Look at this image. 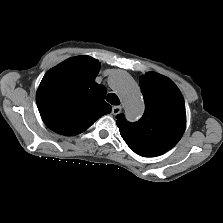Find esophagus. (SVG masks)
<instances>
[{
	"mask_svg": "<svg viewBox=\"0 0 223 223\" xmlns=\"http://www.w3.org/2000/svg\"><path fill=\"white\" fill-rule=\"evenodd\" d=\"M121 110H122L121 106H114V107H112V114L117 115L121 112Z\"/></svg>",
	"mask_w": 223,
	"mask_h": 223,
	"instance_id": "esophagus-1",
	"label": "esophagus"
}]
</instances>
